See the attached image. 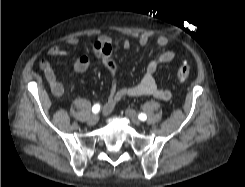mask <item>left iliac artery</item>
<instances>
[{"label": "left iliac artery", "instance_id": "1", "mask_svg": "<svg viewBox=\"0 0 245 187\" xmlns=\"http://www.w3.org/2000/svg\"><path fill=\"white\" fill-rule=\"evenodd\" d=\"M138 118H139L141 121H145V120L147 119V116H146V114H144V113H140V114L138 115Z\"/></svg>", "mask_w": 245, "mask_h": 187}]
</instances>
